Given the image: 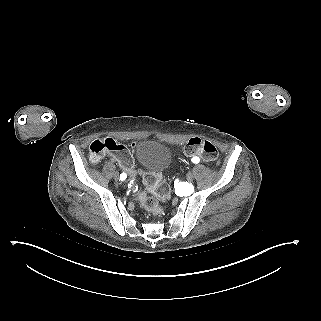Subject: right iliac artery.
I'll use <instances>...</instances> for the list:
<instances>
[{
  "mask_svg": "<svg viewBox=\"0 0 321 321\" xmlns=\"http://www.w3.org/2000/svg\"><path fill=\"white\" fill-rule=\"evenodd\" d=\"M120 179H121V180H125V179H126V174H125V173H122V174L120 175Z\"/></svg>",
  "mask_w": 321,
  "mask_h": 321,
  "instance_id": "82829eb1",
  "label": "right iliac artery"
}]
</instances>
